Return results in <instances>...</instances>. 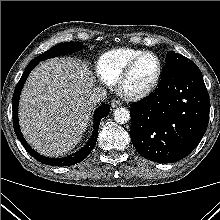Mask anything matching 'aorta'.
<instances>
[{
  "label": "aorta",
  "instance_id": "aorta-1",
  "mask_svg": "<svg viewBox=\"0 0 220 220\" xmlns=\"http://www.w3.org/2000/svg\"><path fill=\"white\" fill-rule=\"evenodd\" d=\"M114 118L117 123H127L130 120V113L128 109L119 107L114 110Z\"/></svg>",
  "mask_w": 220,
  "mask_h": 220
}]
</instances>
